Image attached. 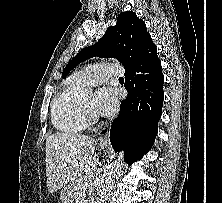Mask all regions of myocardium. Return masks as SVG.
<instances>
[{"label":"myocardium","mask_w":222,"mask_h":203,"mask_svg":"<svg viewBox=\"0 0 222 203\" xmlns=\"http://www.w3.org/2000/svg\"><path fill=\"white\" fill-rule=\"evenodd\" d=\"M82 111L87 123H95L98 121V117L93 113L85 104L84 99L82 100Z\"/></svg>","instance_id":"f54148a6"}]
</instances>
